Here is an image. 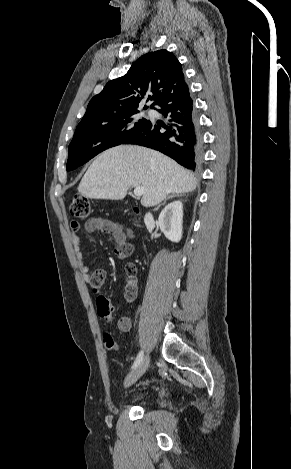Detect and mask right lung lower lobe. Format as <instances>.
<instances>
[{"instance_id":"98d812e1","label":"right lung lower lobe","mask_w":291,"mask_h":469,"mask_svg":"<svg viewBox=\"0 0 291 469\" xmlns=\"http://www.w3.org/2000/svg\"><path fill=\"white\" fill-rule=\"evenodd\" d=\"M158 105V111L168 122L148 121L123 143L158 150L195 171L200 163L201 143L187 85L170 93Z\"/></svg>"}]
</instances>
